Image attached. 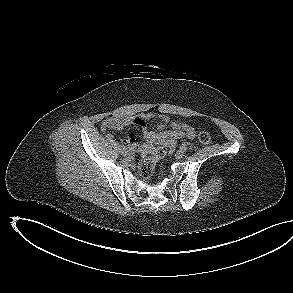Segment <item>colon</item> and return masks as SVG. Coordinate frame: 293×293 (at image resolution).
Here are the masks:
<instances>
[{"mask_svg": "<svg viewBox=\"0 0 293 293\" xmlns=\"http://www.w3.org/2000/svg\"><path fill=\"white\" fill-rule=\"evenodd\" d=\"M198 140L200 143L207 145L211 143L212 138L208 132L202 131L198 135ZM175 147V142L166 141L151 150L139 163L138 172L140 176L145 179L150 178L154 173L156 162L171 153Z\"/></svg>", "mask_w": 293, "mask_h": 293, "instance_id": "colon-1", "label": "colon"}]
</instances>
